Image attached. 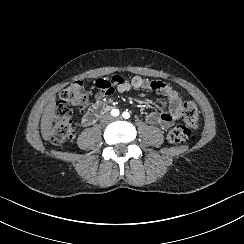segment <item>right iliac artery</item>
Listing matches in <instances>:
<instances>
[{"label":"right iliac artery","instance_id":"1","mask_svg":"<svg viewBox=\"0 0 244 244\" xmlns=\"http://www.w3.org/2000/svg\"><path fill=\"white\" fill-rule=\"evenodd\" d=\"M111 114H112V116L116 117V116L119 115V110H118V109H113V110L111 111Z\"/></svg>","mask_w":244,"mask_h":244}]
</instances>
